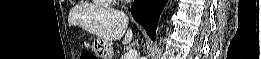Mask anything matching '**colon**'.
I'll return each instance as SVG.
<instances>
[{"label":"colon","mask_w":261,"mask_h":59,"mask_svg":"<svg viewBox=\"0 0 261 59\" xmlns=\"http://www.w3.org/2000/svg\"><path fill=\"white\" fill-rule=\"evenodd\" d=\"M82 58L83 59H89V58H94V57H93V55L86 53V54L82 55Z\"/></svg>","instance_id":"obj_1"}]
</instances>
